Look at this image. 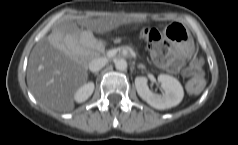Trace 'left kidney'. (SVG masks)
Masks as SVG:
<instances>
[{"instance_id": "left-kidney-1", "label": "left kidney", "mask_w": 238, "mask_h": 145, "mask_svg": "<svg viewBox=\"0 0 238 145\" xmlns=\"http://www.w3.org/2000/svg\"><path fill=\"white\" fill-rule=\"evenodd\" d=\"M158 81L161 83L164 90L162 95L155 94L149 89L146 77H136L135 87L138 95L156 109H169L178 105L184 96V91L180 82L167 74L158 75Z\"/></svg>"}]
</instances>
